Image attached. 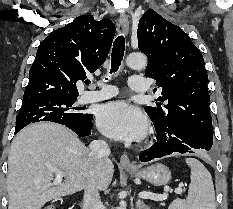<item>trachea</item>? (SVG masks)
<instances>
[{"instance_id":"obj_1","label":"trachea","mask_w":233,"mask_h":209,"mask_svg":"<svg viewBox=\"0 0 233 209\" xmlns=\"http://www.w3.org/2000/svg\"><path fill=\"white\" fill-rule=\"evenodd\" d=\"M124 51H125V39L124 37L118 36L114 43H113V48H112V54H111V69L110 73L116 72L123 60L124 56ZM91 81H86V84H90Z\"/></svg>"}]
</instances>
